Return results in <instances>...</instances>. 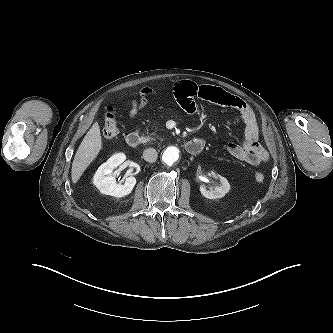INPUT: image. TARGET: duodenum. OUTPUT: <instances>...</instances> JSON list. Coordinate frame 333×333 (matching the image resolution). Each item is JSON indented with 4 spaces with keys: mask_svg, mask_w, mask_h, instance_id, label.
Returning a JSON list of instances; mask_svg holds the SVG:
<instances>
[{
    "mask_svg": "<svg viewBox=\"0 0 333 333\" xmlns=\"http://www.w3.org/2000/svg\"><path fill=\"white\" fill-rule=\"evenodd\" d=\"M126 143L131 148H136L141 144V136L136 132L128 133L126 136ZM204 148V141L201 139H194L188 141L185 145L186 151L191 155L199 154Z\"/></svg>",
    "mask_w": 333,
    "mask_h": 333,
    "instance_id": "obj_1",
    "label": "duodenum"
}]
</instances>
